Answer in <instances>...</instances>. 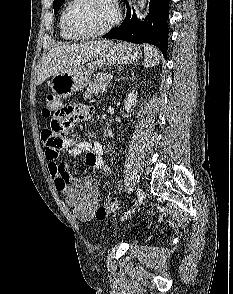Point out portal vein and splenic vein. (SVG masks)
<instances>
[{"label": "portal vein and splenic vein", "mask_w": 233, "mask_h": 294, "mask_svg": "<svg viewBox=\"0 0 233 294\" xmlns=\"http://www.w3.org/2000/svg\"><path fill=\"white\" fill-rule=\"evenodd\" d=\"M108 80H111V79H113V76L112 75H108Z\"/></svg>", "instance_id": "obj_1"}]
</instances>
